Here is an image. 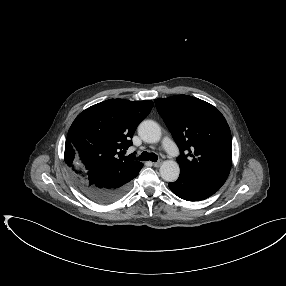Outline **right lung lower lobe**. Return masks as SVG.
Returning <instances> with one entry per match:
<instances>
[{
	"label": "right lung lower lobe",
	"mask_w": 286,
	"mask_h": 286,
	"mask_svg": "<svg viewBox=\"0 0 286 286\" xmlns=\"http://www.w3.org/2000/svg\"><path fill=\"white\" fill-rule=\"evenodd\" d=\"M142 166L132 176L124 180L109 182L105 186L95 185L94 179L90 176H86L79 170H74L75 182L79 190L92 201L108 204L120 199L128 191L130 181L138 175Z\"/></svg>",
	"instance_id": "98d812e1"
}]
</instances>
